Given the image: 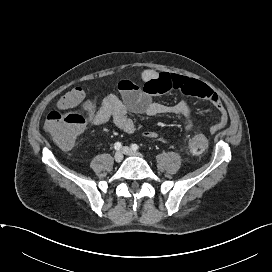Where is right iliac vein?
Masks as SVG:
<instances>
[{
  "label": "right iliac vein",
  "mask_w": 272,
  "mask_h": 272,
  "mask_svg": "<svg viewBox=\"0 0 272 272\" xmlns=\"http://www.w3.org/2000/svg\"><path fill=\"white\" fill-rule=\"evenodd\" d=\"M114 160L116 162H121L123 160V153L121 151H117L114 155Z\"/></svg>",
  "instance_id": "obj_1"
}]
</instances>
